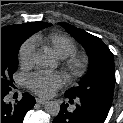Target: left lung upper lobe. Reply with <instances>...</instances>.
<instances>
[{
  "label": "left lung upper lobe",
  "mask_w": 123,
  "mask_h": 123,
  "mask_svg": "<svg viewBox=\"0 0 123 123\" xmlns=\"http://www.w3.org/2000/svg\"><path fill=\"white\" fill-rule=\"evenodd\" d=\"M59 24L83 45L90 60L88 73L78 86L67 90L65 94L72 98L91 97L112 103L116 82L112 52L100 38L68 23Z\"/></svg>",
  "instance_id": "left-lung-upper-lobe-1"
}]
</instances>
